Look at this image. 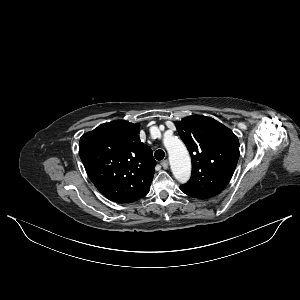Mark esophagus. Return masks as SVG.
Listing matches in <instances>:
<instances>
[{
    "label": "esophagus",
    "mask_w": 300,
    "mask_h": 300,
    "mask_svg": "<svg viewBox=\"0 0 300 300\" xmlns=\"http://www.w3.org/2000/svg\"><path fill=\"white\" fill-rule=\"evenodd\" d=\"M161 165H162V167H163L164 169H168V167H169V162H168V160L162 161V162H161Z\"/></svg>",
    "instance_id": "34e87169"
}]
</instances>
